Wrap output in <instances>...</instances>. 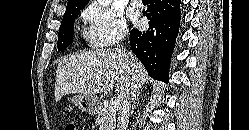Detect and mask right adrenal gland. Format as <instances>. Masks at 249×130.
I'll use <instances>...</instances> for the list:
<instances>
[{"instance_id": "right-adrenal-gland-1", "label": "right adrenal gland", "mask_w": 249, "mask_h": 130, "mask_svg": "<svg viewBox=\"0 0 249 130\" xmlns=\"http://www.w3.org/2000/svg\"><path fill=\"white\" fill-rule=\"evenodd\" d=\"M139 94H140V92H138L137 93V96H136V98H135V100H134V103H133V105H132V113L134 112V109H135V103H136V100L138 99V97H139Z\"/></svg>"}]
</instances>
